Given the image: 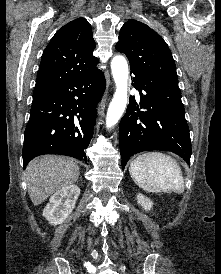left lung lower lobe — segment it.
I'll return each instance as SVG.
<instances>
[{"instance_id": "1", "label": "left lung lower lobe", "mask_w": 221, "mask_h": 274, "mask_svg": "<svg viewBox=\"0 0 221 274\" xmlns=\"http://www.w3.org/2000/svg\"><path fill=\"white\" fill-rule=\"evenodd\" d=\"M130 69L140 103L130 97L120 122L122 168L132 155L150 150L171 151L190 163L191 141L180 90L141 70Z\"/></svg>"}]
</instances>
